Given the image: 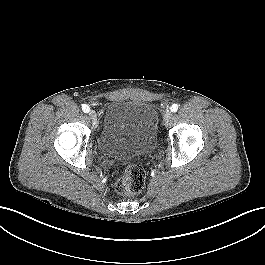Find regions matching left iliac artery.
<instances>
[{"instance_id": "1", "label": "left iliac artery", "mask_w": 265, "mask_h": 265, "mask_svg": "<svg viewBox=\"0 0 265 265\" xmlns=\"http://www.w3.org/2000/svg\"><path fill=\"white\" fill-rule=\"evenodd\" d=\"M170 109L171 112H176L178 110V104H173Z\"/></svg>"}]
</instances>
